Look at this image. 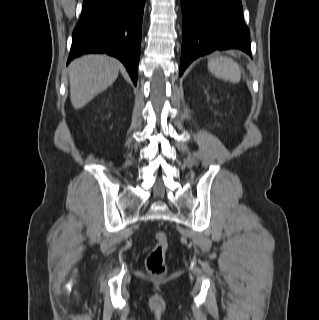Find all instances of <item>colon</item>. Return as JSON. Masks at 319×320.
<instances>
[{
  "mask_svg": "<svg viewBox=\"0 0 319 320\" xmlns=\"http://www.w3.org/2000/svg\"><path fill=\"white\" fill-rule=\"evenodd\" d=\"M156 244L152 248L146 259V268L154 276L165 274L167 267L165 264V254L168 249V237L163 231L155 233Z\"/></svg>",
  "mask_w": 319,
  "mask_h": 320,
  "instance_id": "5ec220e1",
  "label": "colon"
}]
</instances>
